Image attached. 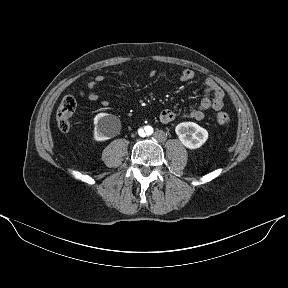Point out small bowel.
I'll use <instances>...</instances> for the list:
<instances>
[{"label": "small bowel", "mask_w": 288, "mask_h": 288, "mask_svg": "<svg viewBox=\"0 0 288 288\" xmlns=\"http://www.w3.org/2000/svg\"><path fill=\"white\" fill-rule=\"evenodd\" d=\"M124 72H118V76H123ZM195 74L191 69H183L180 72V80L182 82L191 81L194 78ZM105 80L103 75H98L88 84L89 92L88 98L91 101H99L100 96L94 91L98 84L102 83ZM205 90L203 98L201 99L199 105L194 108L184 110L180 117L188 120H201L204 118L206 111L213 109L219 111L223 108L224 105V92L221 87L211 78H207L204 82ZM102 107H109L110 103L107 100H102L100 102ZM177 118V114L169 109L163 110L159 119L162 123H170Z\"/></svg>", "instance_id": "obj_1"}]
</instances>
